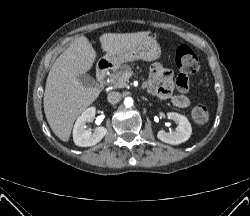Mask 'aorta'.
Listing matches in <instances>:
<instances>
[{"label":"aorta","instance_id":"762f6f07","mask_svg":"<svg viewBox=\"0 0 250 216\" xmlns=\"http://www.w3.org/2000/svg\"><path fill=\"white\" fill-rule=\"evenodd\" d=\"M124 105L129 108L133 105V99L131 97H126L124 100Z\"/></svg>","mask_w":250,"mask_h":216}]
</instances>
